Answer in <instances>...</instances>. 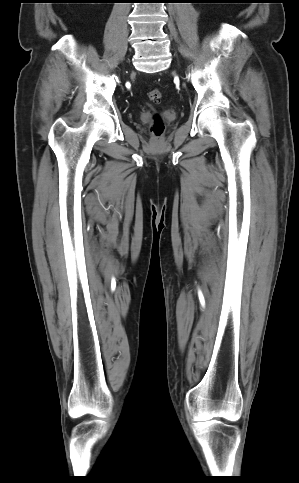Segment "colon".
I'll return each instance as SVG.
<instances>
[{
	"instance_id": "colon-1",
	"label": "colon",
	"mask_w": 299,
	"mask_h": 483,
	"mask_svg": "<svg viewBox=\"0 0 299 483\" xmlns=\"http://www.w3.org/2000/svg\"><path fill=\"white\" fill-rule=\"evenodd\" d=\"M148 97L152 102L159 103L161 101V98H162V92L157 88L152 89L148 93ZM150 131H151L152 135L156 138L160 137L163 134L164 123L161 120V118H159V117L154 118V120L151 124V127H150Z\"/></svg>"
}]
</instances>
